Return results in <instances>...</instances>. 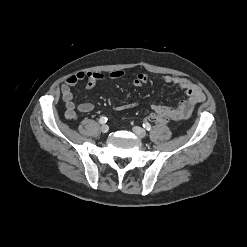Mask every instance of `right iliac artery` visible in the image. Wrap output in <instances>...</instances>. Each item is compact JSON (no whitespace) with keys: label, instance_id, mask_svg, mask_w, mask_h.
I'll return each instance as SVG.
<instances>
[{"label":"right iliac artery","instance_id":"1","mask_svg":"<svg viewBox=\"0 0 247 247\" xmlns=\"http://www.w3.org/2000/svg\"><path fill=\"white\" fill-rule=\"evenodd\" d=\"M99 122L100 124H105L107 122V118L102 116L100 119H99Z\"/></svg>","mask_w":247,"mask_h":247}]
</instances>
